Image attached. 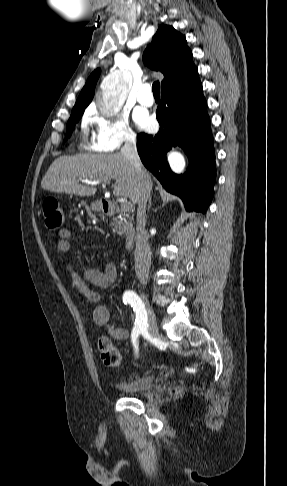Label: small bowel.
Returning a JSON list of instances; mask_svg holds the SVG:
<instances>
[{"instance_id": "small-bowel-1", "label": "small bowel", "mask_w": 287, "mask_h": 486, "mask_svg": "<svg viewBox=\"0 0 287 486\" xmlns=\"http://www.w3.org/2000/svg\"><path fill=\"white\" fill-rule=\"evenodd\" d=\"M59 240L57 242V249L63 255H68L71 252L72 234L68 229H61L58 232ZM69 272L73 286L84 295L89 301L97 303L100 300L98 292L90 288L89 284L106 288L113 284L117 278V269L113 263H107L104 269H88L83 276L78 274L71 263L66 265ZM94 322L106 329L108 333L118 340H123L128 337V332L124 329L114 328L111 324L110 310L104 305H98L93 312Z\"/></svg>"}]
</instances>
